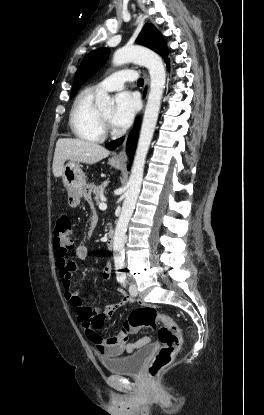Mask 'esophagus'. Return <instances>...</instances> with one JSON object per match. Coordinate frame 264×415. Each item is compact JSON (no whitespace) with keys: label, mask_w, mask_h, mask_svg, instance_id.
Returning <instances> with one entry per match:
<instances>
[{"label":"esophagus","mask_w":264,"mask_h":415,"mask_svg":"<svg viewBox=\"0 0 264 415\" xmlns=\"http://www.w3.org/2000/svg\"><path fill=\"white\" fill-rule=\"evenodd\" d=\"M143 74L145 76V84L147 85L148 81H149L148 74H147L146 71H144ZM126 141H127V137L124 140L123 149L113 157L114 161L121 162V163H126V161H127V155H126V151H125Z\"/></svg>","instance_id":"obj_1"}]
</instances>
